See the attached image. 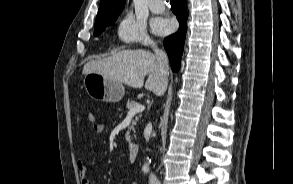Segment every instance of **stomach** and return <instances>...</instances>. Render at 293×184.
Wrapping results in <instances>:
<instances>
[{"mask_svg": "<svg viewBox=\"0 0 293 184\" xmlns=\"http://www.w3.org/2000/svg\"><path fill=\"white\" fill-rule=\"evenodd\" d=\"M83 82L88 95L98 101L119 102L125 94L122 82L98 73H87Z\"/></svg>", "mask_w": 293, "mask_h": 184, "instance_id": "1", "label": "stomach"}]
</instances>
